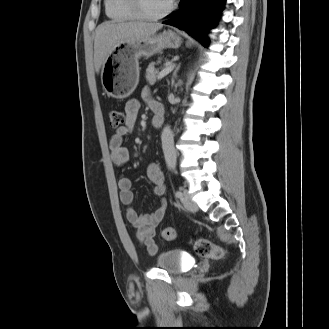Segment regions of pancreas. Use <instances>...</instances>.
Instances as JSON below:
<instances>
[{"label": "pancreas", "instance_id": "cf45deb5", "mask_svg": "<svg viewBox=\"0 0 329 329\" xmlns=\"http://www.w3.org/2000/svg\"><path fill=\"white\" fill-rule=\"evenodd\" d=\"M158 71L155 69V63H151L146 69V79L149 84H154L158 76Z\"/></svg>", "mask_w": 329, "mask_h": 329}]
</instances>
